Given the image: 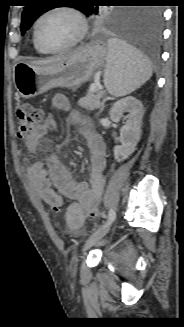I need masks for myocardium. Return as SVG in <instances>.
Masks as SVG:
<instances>
[{"label":"myocardium","mask_w":184,"mask_h":327,"mask_svg":"<svg viewBox=\"0 0 184 327\" xmlns=\"http://www.w3.org/2000/svg\"><path fill=\"white\" fill-rule=\"evenodd\" d=\"M54 12H66L70 15H72L75 20L77 21V24L79 26V32L77 34V36L69 43L60 46V47H56V48H49L44 46L38 38V26L40 24V22L49 14L54 13ZM88 23L86 21V18L84 17V15L82 14V12L80 10H78L77 8L73 7V6H68V5H58V6H53L49 9H47L46 11H44L43 13L40 14V16L36 19L34 25H33V40L35 45L42 51L46 52V53H57V52H62L68 49H71L73 47H75L76 45H78L79 43H81L84 38L86 37L87 33H88Z\"/></svg>","instance_id":"f54148a6"}]
</instances>
